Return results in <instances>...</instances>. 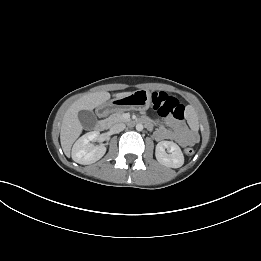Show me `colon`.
Instances as JSON below:
<instances>
[{
    "label": "colon",
    "instance_id": "obj_1",
    "mask_svg": "<svg viewBox=\"0 0 261 261\" xmlns=\"http://www.w3.org/2000/svg\"><path fill=\"white\" fill-rule=\"evenodd\" d=\"M153 108L161 116H171L175 119H182L184 117V106L179 103L177 99L169 96L165 92H155L152 95ZM195 150L192 147L185 149L187 156L194 155Z\"/></svg>",
    "mask_w": 261,
    "mask_h": 261
}]
</instances>
